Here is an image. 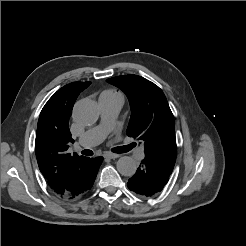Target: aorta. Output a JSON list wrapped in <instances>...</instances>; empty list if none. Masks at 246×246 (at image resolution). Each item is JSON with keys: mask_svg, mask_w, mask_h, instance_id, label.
Segmentation results:
<instances>
[{"mask_svg": "<svg viewBox=\"0 0 246 246\" xmlns=\"http://www.w3.org/2000/svg\"><path fill=\"white\" fill-rule=\"evenodd\" d=\"M73 119L85 126L95 123L98 119L96 103L88 99L78 101L73 108ZM117 170L123 176H132L137 170V163L130 156L120 157L117 161Z\"/></svg>", "mask_w": 246, "mask_h": 246, "instance_id": "1", "label": "aorta"}]
</instances>
